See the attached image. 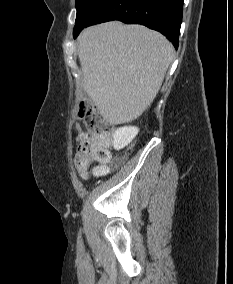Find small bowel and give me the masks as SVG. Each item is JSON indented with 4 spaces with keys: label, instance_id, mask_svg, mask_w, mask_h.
I'll list each match as a JSON object with an SVG mask.
<instances>
[{
    "label": "small bowel",
    "instance_id": "small-bowel-1",
    "mask_svg": "<svg viewBox=\"0 0 233 284\" xmlns=\"http://www.w3.org/2000/svg\"><path fill=\"white\" fill-rule=\"evenodd\" d=\"M122 163L121 159H116L113 161L111 165H96V166H86L84 164H80L77 162V170L78 174L82 179H86L89 175V171L93 173V175L97 177L105 176L107 175L113 168L117 167Z\"/></svg>",
    "mask_w": 233,
    "mask_h": 284
}]
</instances>
